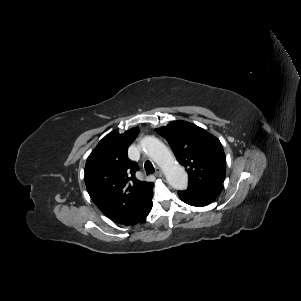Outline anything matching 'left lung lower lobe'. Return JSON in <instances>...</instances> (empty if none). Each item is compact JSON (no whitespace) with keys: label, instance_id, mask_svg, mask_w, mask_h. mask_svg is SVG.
I'll list each match as a JSON object with an SVG mask.
<instances>
[{"label":"left lung lower lobe","instance_id":"1","mask_svg":"<svg viewBox=\"0 0 301 301\" xmlns=\"http://www.w3.org/2000/svg\"><path fill=\"white\" fill-rule=\"evenodd\" d=\"M178 195L182 201L189 205L203 207L212 203L218 193L195 187H188L187 190L178 191Z\"/></svg>","mask_w":301,"mask_h":301}]
</instances>
